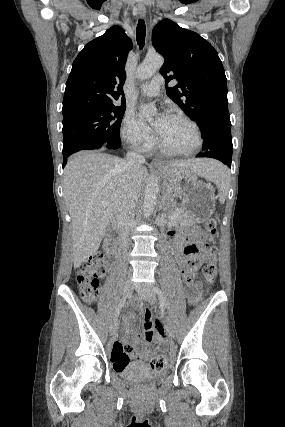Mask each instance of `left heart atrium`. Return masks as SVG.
Here are the masks:
<instances>
[{"label":"left heart atrium","mask_w":285,"mask_h":427,"mask_svg":"<svg viewBox=\"0 0 285 427\" xmlns=\"http://www.w3.org/2000/svg\"><path fill=\"white\" fill-rule=\"evenodd\" d=\"M167 116H165V115H161L160 117H159V123L161 124L164 120H165V118H166ZM157 131H158V133H159V129H157Z\"/></svg>","instance_id":"obj_1"}]
</instances>
